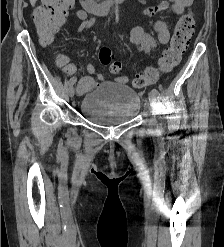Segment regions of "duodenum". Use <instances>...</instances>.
I'll return each instance as SVG.
<instances>
[{"mask_svg": "<svg viewBox=\"0 0 224 247\" xmlns=\"http://www.w3.org/2000/svg\"><path fill=\"white\" fill-rule=\"evenodd\" d=\"M123 0H79L82 8L86 11H95L99 15H107L111 9L116 7Z\"/></svg>", "mask_w": 224, "mask_h": 247, "instance_id": "1", "label": "duodenum"}]
</instances>
